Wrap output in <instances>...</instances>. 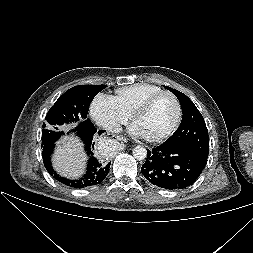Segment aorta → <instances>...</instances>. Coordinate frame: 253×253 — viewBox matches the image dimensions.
I'll return each mask as SVG.
<instances>
[{"label": "aorta", "mask_w": 253, "mask_h": 253, "mask_svg": "<svg viewBox=\"0 0 253 253\" xmlns=\"http://www.w3.org/2000/svg\"><path fill=\"white\" fill-rule=\"evenodd\" d=\"M132 152L137 160H144L147 157V150L142 146H136Z\"/></svg>", "instance_id": "1"}]
</instances>
